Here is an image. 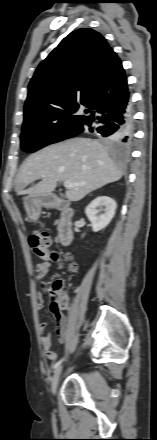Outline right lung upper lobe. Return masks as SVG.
<instances>
[{
	"label": "right lung upper lobe",
	"mask_w": 157,
	"mask_h": 440,
	"mask_svg": "<svg viewBox=\"0 0 157 440\" xmlns=\"http://www.w3.org/2000/svg\"><path fill=\"white\" fill-rule=\"evenodd\" d=\"M129 97L117 54L99 32L81 28L65 37L36 69L28 86L24 123L83 125ZM81 105L93 110L89 117L74 115Z\"/></svg>",
	"instance_id": "obj_1"
}]
</instances>
